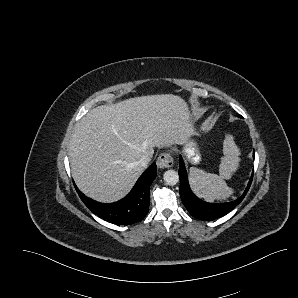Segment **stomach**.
<instances>
[{"label":"stomach","mask_w":298,"mask_h":298,"mask_svg":"<svg viewBox=\"0 0 298 298\" xmlns=\"http://www.w3.org/2000/svg\"><path fill=\"white\" fill-rule=\"evenodd\" d=\"M180 154L186 163L193 166L200 165L203 159L201 141L190 135L188 141L181 146Z\"/></svg>","instance_id":"obj_1"}]
</instances>
